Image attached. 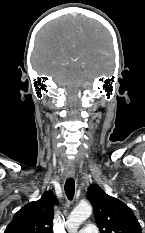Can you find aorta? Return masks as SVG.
<instances>
[{
  "instance_id": "aorta-1",
  "label": "aorta",
  "mask_w": 145,
  "mask_h": 233,
  "mask_svg": "<svg viewBox=\"0 0 145 233\" xmlns=\"http://www.w3.org/2000/svg\"><path fill=\"white\" fill-rule=\"evenodd\" d=\"M92 214V207L85 203L79 204L70 214L66 227L69 233H77L78 228Z\"/></svg>"
}]
</instances>
